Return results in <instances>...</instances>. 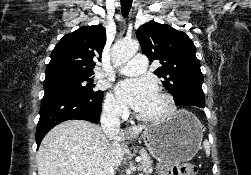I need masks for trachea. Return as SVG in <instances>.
Here are the masks:
<instances>
[{"mask_svg": "<svg viewBox=\"0 0 251 175\" xmlns=\"http://www.w3.org/2000/svg\"><path fill=\"white\" fill-rule=\"evenodd\" d=\"M133 0H121V12L123 17H127L129 15L131 5Z\"/></svg>", "mask_w": 251, "mask_h": 175, "instance_id": "1", "label": "trachea"}]
</instances>
